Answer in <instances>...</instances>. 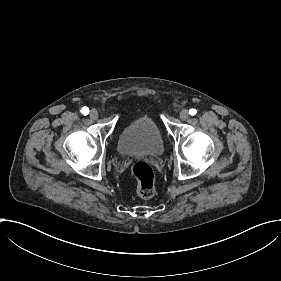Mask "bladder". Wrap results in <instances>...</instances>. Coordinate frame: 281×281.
<instances>
[{"label": "bladder", "instance_id": "obj_1", "mask_svg": "<svg viewBox=\"0 0 281 281\" xmlns=\"http://www.w3.org/2000/svg\"><path fill=\"white\" fill-rule=\"evenodd\" d=\"M164 143L158 126L148 116H142L125 126L120 132L118 150L123 155L157 157Z\"/></svg>", "mask_w": 281, "mask_h": 281}]
</instances>
